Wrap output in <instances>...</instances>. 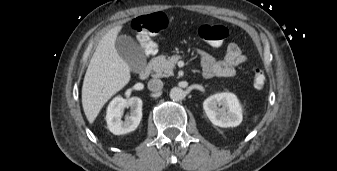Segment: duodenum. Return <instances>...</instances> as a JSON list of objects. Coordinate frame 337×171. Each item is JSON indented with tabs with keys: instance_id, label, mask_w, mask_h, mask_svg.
<instances>
[{
	"instance_id": "410a0bca",
	"label": "duodenum",
	"mask_w": 337,
	"mask_h": 171,
	"mask_svg": "<svg viewBox=\"0 0 337 171\" xmlns=\"http://www.w3.org/2000/svg\"><path fill=\"white\" fill-rule=\"evenodd\" d=\"M150 74V67L146 66L139 72V78L145 80Z\"/></svg>"
}]
</instances>
